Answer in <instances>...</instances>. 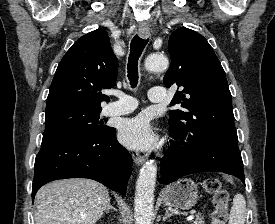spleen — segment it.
I'll list each match as a JSON object with an SVG mask.
<instances>
[{
	"label": "spleen",
	"instance_id": "3e777b00",
	"mask_svg": "<svg viewBox=\"0 0 275 224\" xmlns=\"http://www.w3.org/2000/svg\"><path fill=\"white\" fill-rule=\"evenodd\" d=\"M246 216V201L242 194H236L230 210L228 224H244Z\"/></svg>",
	"mask_w": 275,
	"mask_h": 224
}]
</instances>
